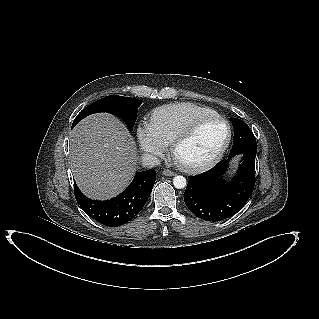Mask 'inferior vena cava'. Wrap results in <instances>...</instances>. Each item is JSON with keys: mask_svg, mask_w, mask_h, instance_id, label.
I'll return each instance as SVG.
<instances>
[{"mask_svg": "<svg viewBox=\"0 0 319 319\" xmlns=\"http://www.w3.org/2000/svg\"><path fill=\"white\" fill-rule=\"evenodd\" d=\"M142 164L145 167H154L160 165V160L151 154H143L142 156Z\"/></svg>", "mask_w": 319, "mask_h": 319, "instance_id": "obj_1", "label": "inferior vena cava"}]
</instances>
